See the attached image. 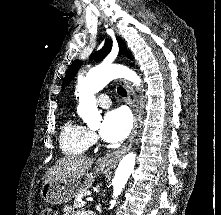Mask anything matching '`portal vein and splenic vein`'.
Here are the masks:
<instances>
[{
    "label": "portal vein and splenic vein",
    "instance_id": "obj_1",
    "mask_svg": "<svg viewBox=\"0 0 221 215\" xmlns=\"http://www.w3.org/2000/svg\"><path fill=\"white\" fill-rule=\"evenodd\" d=\"M86 201L91 202V201H93V198H92V197H88V198L86 199Z\"/></svg>",
    "mask_w": 221,
    "mask_h": 215
}]
</instances>
